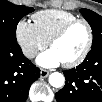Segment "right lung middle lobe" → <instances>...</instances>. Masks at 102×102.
<instances>
[{
    "label": "right lung middle lobe",
    "mask_w": 102,
    "mask_h": 102,
    "mask_svg": "<svg viewBox=\"0 0 102 102\" xmlns=\"http://www.w3.org/2000/svg\"><path fill=\"white\" fill-rule=\"evenodd\" d=\"M34 11L31 7L0 1V41L17 43L16 27L22 17Z\"/></svg>",
    "instance_id": "dd1d6c3e"
}]
</instances>
